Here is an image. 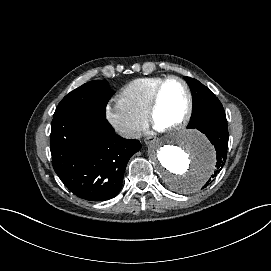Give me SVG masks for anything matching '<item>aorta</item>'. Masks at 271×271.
Here are the masks:
<instances>
[{"mask_svg": "<svg viewBox=\"0 0 271 271\" xmlns=\"http://www.w3.org/2000/svg\"><path fill=\"white\" fill-rule=\"evenodd\" d=\"M157 174L173 191L191 194L199 191L214 172L216 152L199 131L172 132L149 147Z\"/></svg>", "mask_w": 271, "mask_h": 271, "instance_id": "1", "label": "aorta"}]
</instances>
